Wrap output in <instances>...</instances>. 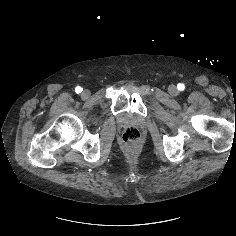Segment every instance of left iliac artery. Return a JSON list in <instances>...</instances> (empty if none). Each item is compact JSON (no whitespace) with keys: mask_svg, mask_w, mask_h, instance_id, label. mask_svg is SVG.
I'll use <instances>...</instances> for the list:
<instances>
[{"mask_svg":"<svg viewBox=\"0 0 236 236\" xmlns=\"http://www.w3.org/2000/svg\"><path fill=\"white\" fill-rule=\"evenodd\" d=\"M177 88H178L179 91H183L185 89V85L183 83H179L177 85Z\"/></svg>","mask_w":236,"mask_h":236,"instance_id":"1","label":"left iliac artery"}]
</instances>
